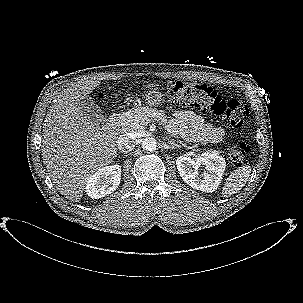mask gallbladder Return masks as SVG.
<instances>
[{
	"label": "gallbladder",
	"instance_id": "1",
	"mask_svg": "<svg viewBox=\"0 0 303 303\" xmlns=\"http://www.w3.org/2000/svg\"><path fill=\"white\" fill-rule=\"evenodd\" d=\"M79 106L82 113L90 116L93 121L97 123H104L106 119L105 114L90 101L82 100L80 101Z\"/></svg>",
	"mask_w": 303,
	"mask_h": 303
}]
</instances>
